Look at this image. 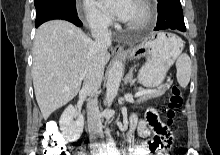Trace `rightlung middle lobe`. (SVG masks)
Returning a JSON list of instances; mask_svg holds the SVG:
<instances>
[{
	"label": "right lung middle lobe",
	"mask_w": 220,
	"mask_h": 155,
	"mask_svg": "<svg viewBox=\"0 0 220 155\" xmlns=\"http://www.w3.org/2000/svg\"><path fill=\"white\" fill-rule=\"evenodd\" d=\"M36 16L53 10L76 11V0H34Z\"/></svg>",
	"instance_id": "dd1d6c3e"
}]
</instances>
